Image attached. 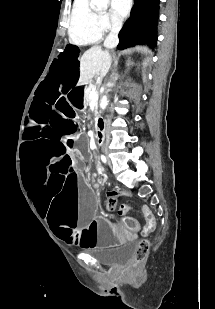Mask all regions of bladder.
<instances>
[{
	"instance_id": "31cf9c89",
	"label": "bladder",
	"mask_w": 215,
	"mask_h": 309,
	"mask_svg": "<svg viewBox=\"0 0 215 309\" xmlns=\"http://www.w3.org/2000/svg\"><path fill=\"white\" fill-rule=\"evenodd\" d=\"M136 254V247L128 244L118 250L96 256L97 261L108 267H122L128 264Z\"/></svg>"
}]
</instances>
